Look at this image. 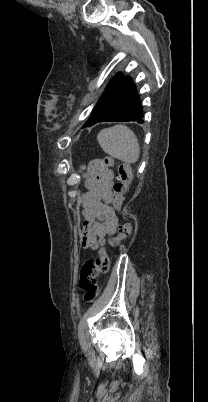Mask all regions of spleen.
<instances>
[{
  "label": "spleen",
  "mask_w": 208,
  "mask_h": 402,
  "mask_svg": "<svg viewBox=\"0 0 208 402\" xmlns=\"http://www.w3.org/2000/svg\"><path fill=\"white\" fill-rule=\"evenodd\" d=\"M97 140L104 152L117 158L125 164H135L140 156V148L138 140L127 126H113V128H105L101 130L97 136Z\"/></svg>",
  "instance_id": "obj_1"
}]
</instances>
